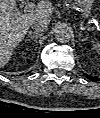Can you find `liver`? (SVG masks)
<instances>
[{
	"label": "liver",
	"instance_id": "6515ba94",
	"mask_svg": "<svg viewBox=\"0 0 100 118\" xmlns=\"http://www.w3.org/2000/svg\"><path fill=\"white\" fill-rule=\"evenodd\" d=\"M16 12V0H0L1 66H4L10 60L15 47L25 37L33 20L44 19L48 23L50 22L53 6L48 0H41L35 11L19 15Z\"/></svg>",
	"mask_w": 100,
	"mask_h": 118
}]
</instances>
